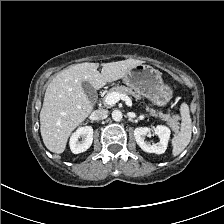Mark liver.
<instances>
[{
    "label": "liver",
    "instance_id": "6515ba94",
    "mask_svg": "<svg viewBox=\"0 0 224 224\" xmlns=\"http://www.w3.org/2000/svg\"><path fill=\"white\" fill-rule=\"evenodd\" d=\"M143 61L127 59L102 64L80 63L62 70L49 83L40 111V132L46 148L57 154L64 152L69 136L92 112L93 106L82 83L98 90L107 83L123 78Z\"/></svg>",
    "mask_w": 224,
    "mask_h": 224
}]
</instances>
